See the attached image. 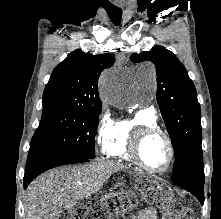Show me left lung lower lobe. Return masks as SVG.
<instances>
[{
    "label": "left lung lower lobe",
    "mask_w": 221,
    "mask_h": 219,
    "mask_svg": "<svg viewBox=\"0 0 221 219\" xmlns=\"http://www.w3.org/2000/svg\"><path fill=\"white\" fill-rule=\"evenodd\" d=\"M182 187L183 189L191 192L194 196L198 198V200L203 205L204 202V179L201 180H192L186 182L175 183Z\"/></svg>",
    "instance_id": "0a47b994"
}]
</instances>
